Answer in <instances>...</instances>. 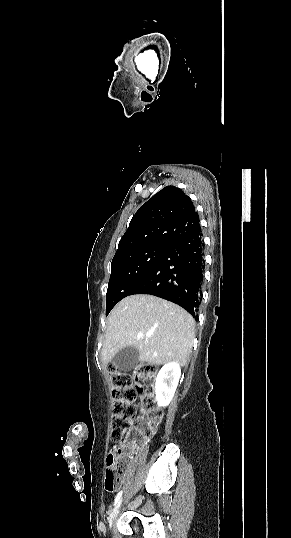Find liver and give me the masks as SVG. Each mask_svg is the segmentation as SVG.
<instances>
[{
	"label": "liver",
	"mask_w": 291,
	"mask_h": 538,
	"mask_svg": "<svg viewBox=\"0 0 291 538\" xmlns=\"http://www.w3.org/2000/svg\"><path fill=\"white\" fill-rule=\"evenodd\" d=\"M194 326L193 317L172 302L147 294L128 296L108 316L102 361L107 365L120 350L132 346L141 362L162 365L176 361L184 365L192 348Z\"/></svg>",
	"instance_id": "1"
}]
</instances>
